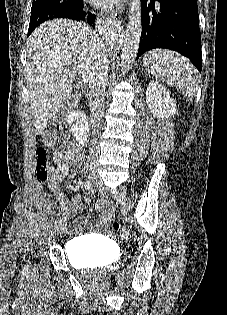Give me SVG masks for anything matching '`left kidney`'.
I'll list each match as a JSON object with an SVG mask.
<instances>
[{
	"label": "left kidney",
	"instance_id": "left-kidney-1",
	"mask_svg": "<svg viewBox=\"0 0 227 315\" xmlns=\"http://www.w3.org/2000/svg\"><path fill=\"white\" fill-rule=\"evenodd\" d=\"M146 102L157 118H168L177 111L175 101L170 97L167 89L158 82L149 83L146 90Z\"/></svg>",
	"mask_w": 227,
	"mask_h": 315
}]
</instances>
